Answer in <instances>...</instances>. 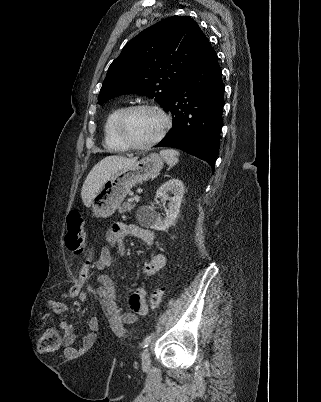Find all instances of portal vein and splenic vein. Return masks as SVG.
<instances>
[{"instance_id":"18ae733b","label":"portal vein and splenic vein","mask_w":321,"mask_h":402,"mask_svg":"<svg viewBox=\"0 0 321 402\" xmlns=\"http://www.w3.org/2000/svg\"><path fill=\"white\" fill-rule=\"evenodd\" d=\"M133 200H135L136 202H138V201H139V196H138V195L134 196Z\"/></svg>"}]
</instances>
